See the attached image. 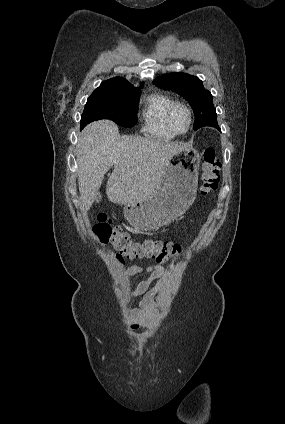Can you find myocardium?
<instances>
[{"label": "myocardium", "mask_w": 285, "mask_h": 424, "mask_svg": "<svg viewBox=\"0 0 285 424\" xmlns=\"http://www.w3.org/2000/svg\"><path fill=\"white\" fill-rule=\"evenodd\" d=\"M178 108H183V109H185V110H186V112H187V114H188V117H189L188 127H187V129H186L185 131H179V130L175 127V125H174V123H173V115H174L175 111H176ZM167 121H168V125H169L170 129H171V130H172L175 134H177V135L186 134V133H187V132L191 129V126H192V123H193V113H192V110H191V108H190L187 104H185V103H183V102H175V103L172 105V107L170 108L169 112H168Z\"/></svg>", "instance_id": "f54148a6"}]
</instances>
